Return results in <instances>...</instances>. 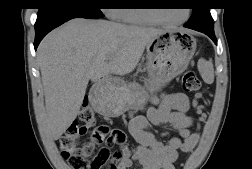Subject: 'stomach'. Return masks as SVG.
<instances>
[{
  "label": "stomach",
  "mask_w": 252,
  "mask_h": 169,
  "mask_svg": "<svg viewBox=\"0 0 252 169\" xmlns=\"http://www.w3.org/2000/svg\"><path fill=\"white\" fill-rule=\"evenodd\" d=\"M196 47V39L187 31L164 29L146 46V85L121 81L100 83L92 98L96 109L106 116L117 117L128 110L143 108L148 92L159 91L187 69Z\"/></svg>",
  "instance_id": "stomach-1"
}]
</instances>
